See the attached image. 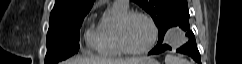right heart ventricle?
I'll use <instances>...</instances> for the list:
<instances>
[{
  "mask_svg": "<svg viewBox=\"0 0 242 64\" xmlns=\"http://www.w3.org/2000/svg\"><path fill=\"white\" fill-rule=\"evenodd\" d=\"M128 7L112 4L101 16L97 27L88 35L91 49L100 55L115 57L124 52L119 46L117 29L120 19L128 13Z\"/></svg>",
  "mask_w": 242,
  "mask_h": 64,
  "instance_id": "1",
  "label": "right heart ventricle"
}]
</instances>
